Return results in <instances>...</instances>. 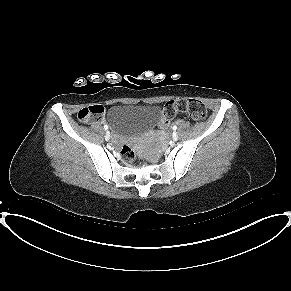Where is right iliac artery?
<instances>
[{
  "mask_svg": "<svg viewBox=\"0 0 291 291\" xmlns=\"http://www.w3.org/2000/svg\"><path fill=\"white\" fill-rule=\"evenodd\" d=\"M104 129L107 130L108 129V126L107 125H104Z\"/></svg>",
  "mask_w": 291,
  "mask_h": 291,
  "instance_id": "82829eb1",
  "label": "right iliac artery"
}]
</instances>
